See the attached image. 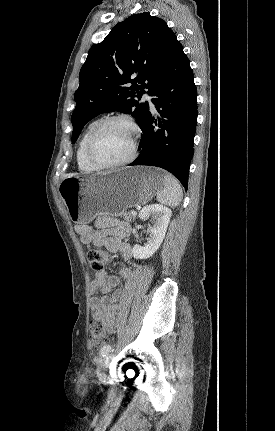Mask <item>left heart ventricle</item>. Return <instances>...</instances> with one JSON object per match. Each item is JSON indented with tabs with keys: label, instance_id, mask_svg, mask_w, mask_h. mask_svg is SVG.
Wrapping results in <instances>:
<instances>
[{
	"label": "left heart ventricle",
	"instance_id": "obj_1",
	"mask_svg": "<svg viewBox=\"0 0 275 431\" xmlns=\"http://www.w3.org/2000/svg\"><path fill=\"white\" fill-rule=\"evenodd\" d=\"M132 147V133L123 122L106 125L92 146L93 157L102 163H117L128 157Z\"/></svg>",
	"mask_w": 275,
	"mask_h": 431
}]
</instances>
